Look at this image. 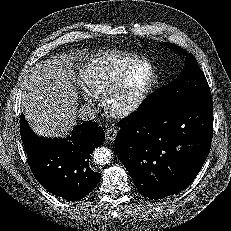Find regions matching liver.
<instances>
[{
  "label": "liver",
  "mask_w": 231,
  "mask_h": 231,
  "mask_svg": "<svg viewBox=\"0 0 231 231\" xmlns=\"http://www.w3.org/2000/svg\"><path fill=\"white\" fill-rule=\"evenodd\" d=\"M71 59L61 55L40 61L24 79L22 110L39 136L63 137L76 125L78 95Z\"/></svg>",
  "instance_id": "6515ba94"
}]
</instances>
